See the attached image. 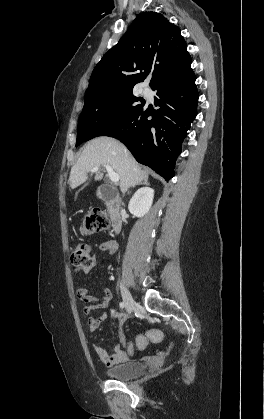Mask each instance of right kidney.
Masks as SVG:
<instances>
[{
  "label": "right kidney",
  "instance_id": "obj_1",
  "mask_svg": "<svg viewBox=\"0 0 264 419\" xmlns=\"http://www.w3.org/2000/svg\"><path fill=\"white\" fill-rule=\"evenodd\" d=\"M154 198V190L150 187L140 188L131 198L128 209L136 217H143L150 210Z\"/></svg>",
  "mask_w": 264,
  "mask_h": 419
}]
</instances>
